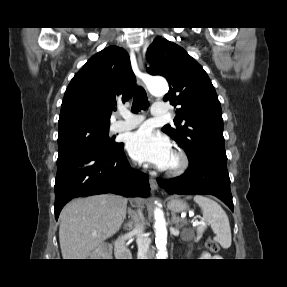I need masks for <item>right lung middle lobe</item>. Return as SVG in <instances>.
<instances>
[{"instance_id": "obj_1", "label": "right lung middle lobe", "mask_w": 287, "mask_h": 287, "mask_svg": "<svg viewBox=\"0 0 287 287\" xmlns=\"http://www.w3.org/2000/svg\"><path fill=\"white\" fill-rule=\"evenodd\" d=\"M58 133V155L73 150L111 154L121 145L109 137L108 125L77 122L59 127Z\"/></svg>"}]
</instances>
